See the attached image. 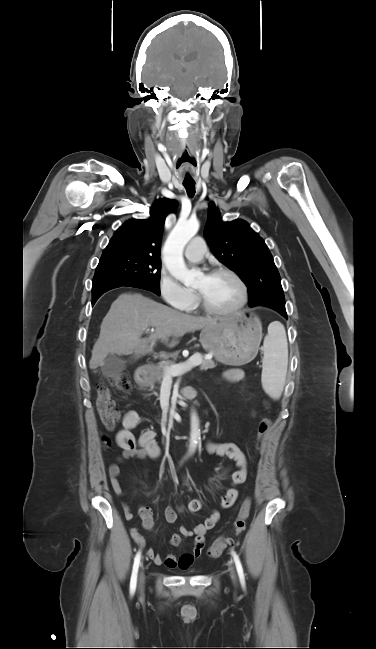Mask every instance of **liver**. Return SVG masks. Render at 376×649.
I'll return each mask as SVG.
<instances>
[{
	"mask_svg": "<svg viewBox=\"0 0 376 649\" xmlns=\"http://www.w3.org/2000/svg\"><path fill=\"white\" fill-rule=\"evenodd\" d=\"M218 320L178 312L139 293L122 294L112 303L102 321L89 367L96 369L102 366L108 354H134L137 359L149 352V344L157 340L167 342L170 336L181 337L215 324ZM150 327L154 328V332L149 338L142 339ZM176 344L172 342L169 346Z\"/></svg>",
	"mask_w": 376,
	"mask_h": 649,
	"instance_id": "6515ba94",
	"label": "liver"
}]
</instances>
